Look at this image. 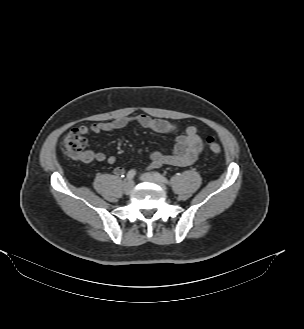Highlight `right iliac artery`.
I'll return each instance as SVG.
<instances>
[{
  "label": "right iliac artery",
  "mask_w": 304,
  "mask_h": 329,
  "mask_svg": "<svg viewBox=\"0 0 304 329\" xmlns=\"http://www.w3.org/2000/svg\"><path fill=\"white\" fill-rule=\"evenodd\" d=\"M135 174H136V171H135V170H130V171L127 173V177H126V179H127L128 181H131V180L134 178Z\"/></svg>",
  "instance_id": "obj_1"
}]
</instances>
